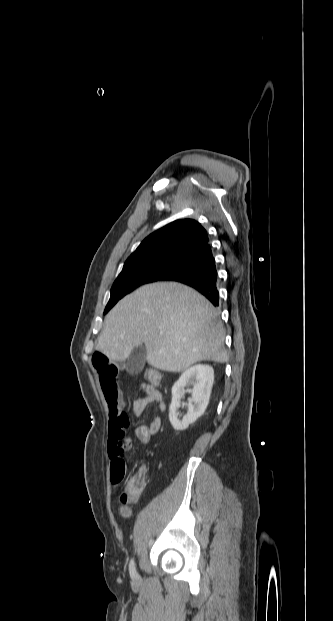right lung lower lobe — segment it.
<instances>
[{
  "label": "right lung lower lobe",
  "mask_w": 333,
  "mask_h": 621,
  "mask_svg": "<svg viewBox=\"0 0 333 621\" xmlns=\"http://www.w3.org/2000/svg\"><path fill=\"white\" fill-rule=\"evenodd\" d=\"M162 280L186 284L204 295L214 306H218L217 270L209 243L187 257Z\"/></svg>",
  "instance_id": "1"
}]
</instances>
